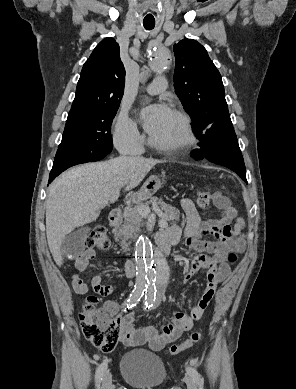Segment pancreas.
I'll return each instance as SVG.
<instances>
[{
  "mask_svg": "<svg viewBox=\"0 0 296 389\" xmlns=\"http://www.w3.org/2000/svg\"><path fill=\"white\" fill-rule=\"evenodd\" d=\"M150 204H153L156 212L167 221H179V210L158 198H152L146 203H140L136 207L126 210L122 219L113 230L116 239L121 240L120 244L124 252L129 250L130 240L134 238L136 233L140 232V228L144 225V217L138 212V207H149Z\"/></svg>",
  "mask_w": 296,
  "mask_h": 389,
  "instance_id": "obj_1",
  "label": "pancreas"
}]
</instances>
